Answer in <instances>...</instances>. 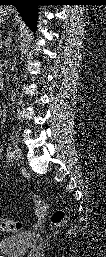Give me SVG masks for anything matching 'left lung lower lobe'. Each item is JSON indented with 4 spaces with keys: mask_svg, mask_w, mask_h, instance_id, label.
Instances as JSON below:
<instances>
[{
    "mask_svg": "<svg viewBox=\"0 0 106 257\" xmlns=\"http://www.w3.org/2000/svg\"><path fill=\"white\" fill-rule=\"evenodd\" d=\"M3 5L6 2H10V5H14L19 11L20 15L27 23V25L33 30H36L37 21V4L36 0H0Z\"/></svg>",
    "mask_w": 106,
    "mask_h": 257,
    "instance_id": "1",
    "label": "left lung lower lobe"
}]
</instances>
